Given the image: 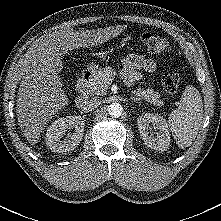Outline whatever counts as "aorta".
Listing matches in <instances>:
<instances>
[{
    "label": "aorta",
    "mask_w": 221,
    "mask_h": 221,
    "mask_svg": "<svg viewBox=\"0 0 221 221\" xmlns=\"http://www.w3.org/2000/svg\"><path fill=\"white\" fill-rule=\"evenodd\" d=\"M108 112L110 116L117 118L122 115L123 107L119 103H112L108 107Z\"/></svg>",
    "instance_id": "aorta-1"
}]
</instances>
